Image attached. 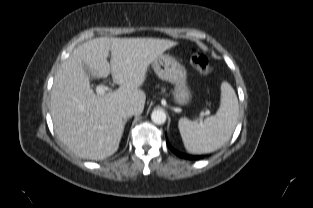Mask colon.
Returning a JSON list of instances; mask_svg holds the SVG:
<instances>
[{
	"mask_svg": "<svg viewBox=\"0 0 313 208\" xmlns=\"http://www.w3.org/2000/svg\"><path fill=\"white\" fill-rule=\"evenodd\" d=\"M191 62L193 66L203 75H208L213 71V67L209 63L206 56L196 50H193L191 53Z\"/></svg>",
	"mask_w": 313,
	"mask_h": 208,
	"instance_id": "1",
	"label": "colon"
}]
</instances>
